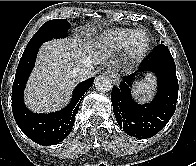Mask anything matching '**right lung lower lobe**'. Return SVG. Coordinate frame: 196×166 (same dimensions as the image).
I'll list each match as a JSON object with an SVG mask.
<instances>
[{
    "mask_svg": "<svg viewBox=\"0 0 196 166\" xmlns=\"http://www.w3.org/2000/svg\"><path fill=\"white\" fill-rule=\"evenodd\" d=\"M39 48H26L19 61L12 88V111L21 131L32 141L47 146L61 142L70 134L79 104L94 78L81 82L75 88L70 103L64 109L48 114L31 112L24 104L23 92Z\"/></svg>",
    "mask_w": 196,
    "mask_h": 166,
    "instance_id": "right-lung-lower-lobe-1",
    "label": "right lung lower lobe"
}]
</instances>
